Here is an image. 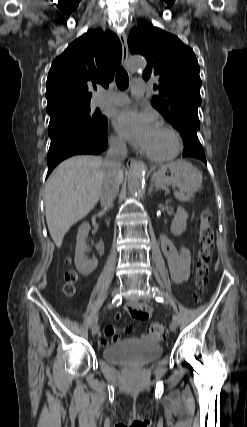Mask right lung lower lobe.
Segmentation results:
<instances>
[{
	"label": "right lung lower lobe",
	"instance_id": "right-lung-lower-lobe-1",
	"mask_svg": "<svg viewBox=\"0 0 247 427\" xmlns=\"http://www.w3.org/2000/svg\"><path fill=\"white\" fill-rule=\"evenodd\" d=\"M48 133L51 143L47 158V176L62 160L77 154L98 155L108 145L107 126L104 129H94L71 118H50Z\"/></svg>",
	"mask_w": 247,
	"mask_h": 427
}]
</instances>
